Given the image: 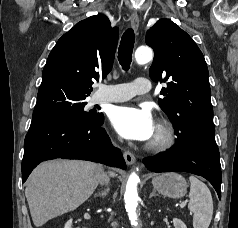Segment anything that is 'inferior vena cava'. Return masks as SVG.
I'll list each match as a JSON object with an SVG mask.
<instances>
[{
	"label": "inferior vena cava",
	"instance_id": "inferior-vena-cava-1",
	"mask_svg": "<svg viewBox=\"0 0 238 228\" xmlns=\"http://www.w3.org/2000/svg\"><path fill=\"white\" fill-rule=\"evenodd\" d=\"M99 182L101 184H108L109 182V177L105 174V173H101L100 177H99Z\"/></svg>",
	"mask_w": 238,
	"mask_h": 228
}]
</instances>
